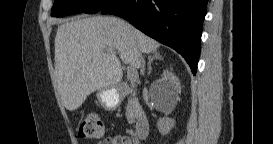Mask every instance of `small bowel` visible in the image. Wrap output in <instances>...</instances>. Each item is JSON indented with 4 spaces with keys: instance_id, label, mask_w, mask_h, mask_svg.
Masks as SVG:
<instances>
[{
    "instance_id": "obj_1",
    "label": "small bowel",
    "mask_w": 273,
    "mask_h": 144,
    "mask_svg": "<svg viewBox=\"0 0 273 144\" xmlns=\"http://www.w3.org/2000/svg\"><path fill=\"white\" fill-rule=\"evenodd\" d=\"M106 144H132V140L129 136L116 135L103 141Z\"/></svg>"
}]
</instances>
